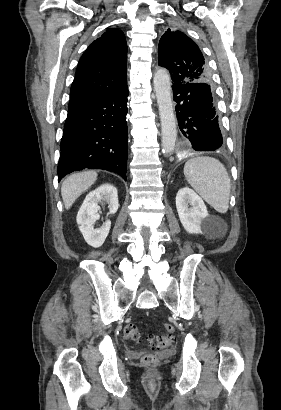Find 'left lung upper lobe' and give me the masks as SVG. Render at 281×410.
Returning <instances> with one entry per match:
<instances>
[{
  "instance_id": "left-lung-upper-lobe-1",
  "label": "left lung upper lobe",
  "mask_w": 281,
  "mask_h": 410,
  "mask_svg": "<svg viewBox=\"0 0 281 410\" xmlns=\"http://www.w3.org/2000/svg\"><path fill=\"white\" fill-rule=\"evenodd\" d=\"M159 65L166 67L173 84L209 83L210 71L199 47L181 31L168 29L158 47Z\"/></svg>"
}]
</instances>
